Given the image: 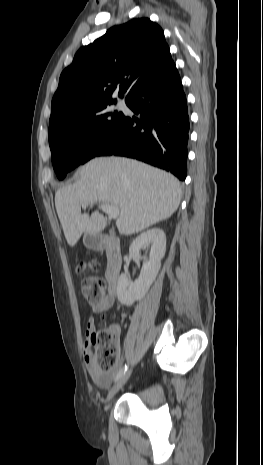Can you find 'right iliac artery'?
I'll return each instance as SVG.
<instances>
[{
	"label": "right iliac artery",
	"instance_id": "1",
	"mask_svg": "<svg viewBox=\"0 0 263 465\" xmlns=\"http://www.w3.org/2000/svg\"><path fill=\"white\" fill-rule=\"evenodd\" d=\"M128 369V365L125 364L121 369L120 371L118 372V374L116 375L115 377V382L118 381L124 374L125 372L127 371Z\"/></svg>",
	"mask_w": 263,
	"mask_h": 465
}]
</instances>
